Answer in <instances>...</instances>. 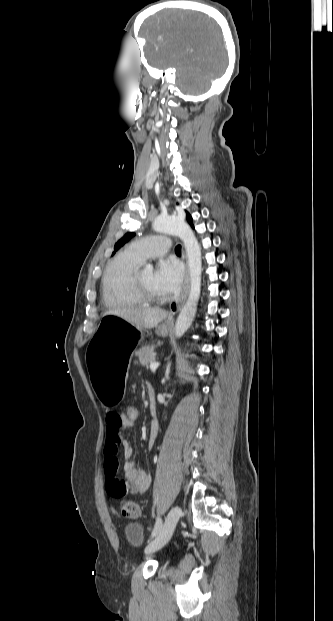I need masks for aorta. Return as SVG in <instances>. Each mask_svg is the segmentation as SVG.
Segmentation results:
<instances>
[{
    "label": "aorta",
    "instance_id": "1",
    "mask_svg": "<svg viewBox=\"0 0 333 621\" xmlns=\"http://www.w3.org/2000/svg\"><path fill=\"white\" fill-rule=\"evenodd\" d=\"M153 229L156 232L168 233L179 237L183 241L186 250L191 287L188 299L175 324V336L181 338L192 324L197 311L201 291V248L191 227L180 218L157 217L153 222ZM152 270L153 266L147 264L145 272H152Z\"/></svg>",
    "mask_w": 333,
    "mask_h": 621
}]
</instances>
